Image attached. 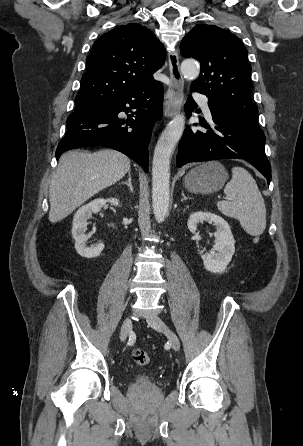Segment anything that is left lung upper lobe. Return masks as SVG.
I'll return each mask as SVG.
<instances>
[{
	"instance_id": "obj_1",
	"label": "left lung upper lobe",
	"mask_w": 303,
	"mask_h": 446,
	"mask_svg": "<svg viewBox=\"0 0 303 446\" xmlns=\"http://www.w3.org/2000/svg\"><path fill=\"white\" fill-rule=\"evenodd\" d=\"M180 51L183 57L201 63L200 76L192 82V89L259 127L258 108L251 100V66L238 37L214 25H198L183 38Z\"/></svg>"
}]
</instances>
